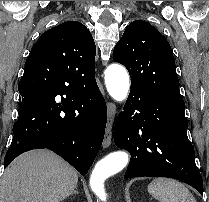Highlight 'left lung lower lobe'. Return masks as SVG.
<instances>
[{
	"label": "left lung lower lobe",
	"mask_w": 209,
	"mask_h": 202,
	"mask_svg": "<svg viewBox=\"0 0 209 202\" xmlns=\"http://www.w3.org/2000/svg\"><path fill=\"white\" fill-rule=\"evenodd\" d=\"M185 103L131 87L116 120L114 142L131 160L124 178L169 177L185 182L203 194L195 152L187 137Z\"/></svg>",
	"instance_id": "left-lung-lower-lobe-1"
}]
</instances>
